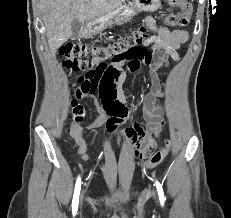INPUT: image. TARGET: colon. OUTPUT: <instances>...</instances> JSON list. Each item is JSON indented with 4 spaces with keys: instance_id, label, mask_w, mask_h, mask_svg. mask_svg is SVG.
Masks as SVG:
<instances>
[{
    "instance_id": "obj_1",
    "label": "colon",
    "mask_w": 231,
    "mask_h": 218,
    "mask_svg": "<svg viewBox=\"0 0 231 218\" xmlns=\"http://www.w3.org/2000/svg\"><path fill=\"white\" fill-rule=\"evenodd\" d=\"M167 4L179 8V12L170 14L166 22L170 26H186L191 18V6L186 0H166ZM148 29L139 27L129 34L108 44L84 45L67 43L60 49L62 64L73 71L83 69H96L103 63H111L117 56H151L150 51L141 44L147 37ZM72 118L75 123H80L84 118V109L77 102H72ZM169 152V143L159 150L153 151L144 163V167L153 168L160 164Z\"/></svg>"
}]
</instances>
